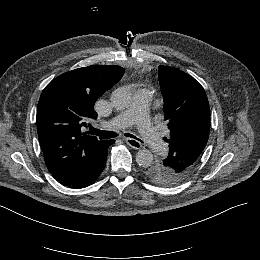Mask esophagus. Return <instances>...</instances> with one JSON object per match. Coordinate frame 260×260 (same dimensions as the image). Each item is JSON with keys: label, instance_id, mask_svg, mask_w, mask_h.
I'll list each match as a JSON object with an SVG mask.
<instances>
[{"label": "esophagus", "instance_id": "obj_1", "mask_svg": "<svg viewBox=\"0 0 260 260\" xmlns=\"http://www.w3.org/2000/svg\"><path fill=\"white\" fill-rule=\"evenodd\" d=\"M125 141H126V143L130 146V147H132V148H134V149H140L141 147H142V145H141V143L138 141V140H136V139H133V138H126L125 139Z\"/></svg>", "mask_w": 260, "mask_h": 260}]
</instances>
